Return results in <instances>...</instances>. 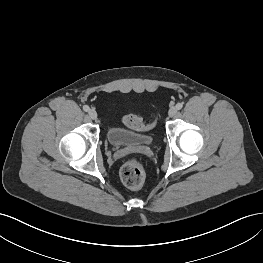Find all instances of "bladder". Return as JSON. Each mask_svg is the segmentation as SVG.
<instances>
[{
	"label": "bladder",
	"mask_w": 263,
	"mask_h": 263,
	"mask_svg": "<svg viewBox=\"0 0 263 263\" xmlns=\"http://www.w3.org/2000/svg\"><path fill=\"white\" fill-rule=\"evenodd\" d=\"M106 138L115 147H138L149 145L152 142L150 134L135 132L116 124H110L107 127Z\"/></svg>",
	"instance_id": "obj_1"
}]
</instances>
